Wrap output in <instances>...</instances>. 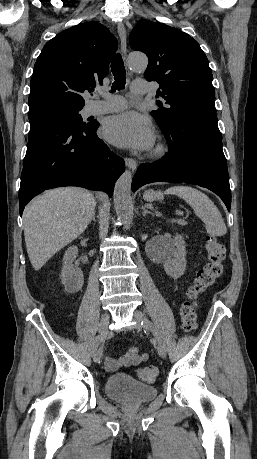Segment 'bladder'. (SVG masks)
<instances>
[{
	"instance_id": "1",
	"label": "bladder",
	"mask_w": 257,
	"mask_h": 459,
	"mask_svg": "<svg viewBox=\"0 0 257 459\" xmlns=\"http://www.w3.org/2000/svg\"><path fill=\"white\" fill-rule=\"evenodd\" d=\"M105 391L114 400L136 405L146 403L157 395L155 386L137 381L126 373H115L107 378Z\"/></svg>"
}]
</instances>
